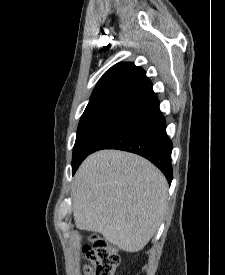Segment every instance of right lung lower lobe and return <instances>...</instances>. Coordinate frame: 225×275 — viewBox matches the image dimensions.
<instances>
[{
	"label": "right lung lower lobe",
	"instance_id": "right-lung-lower-lobe-1",
	"mask_svg": "<svg viewBox=\"0 0 225 275\" xmlns=\"http://www.w3.org/2000/svg\"><path fill=\"white\" fill-rule=\"evenodd\" d=\"M172 148L158 101L127 115L97 143L91 153L101 149H119L136 153L154 163L171 183Z\"/></svg>",
	"mask_w": 225,
	"mask_h": 275
}]
</instances>
